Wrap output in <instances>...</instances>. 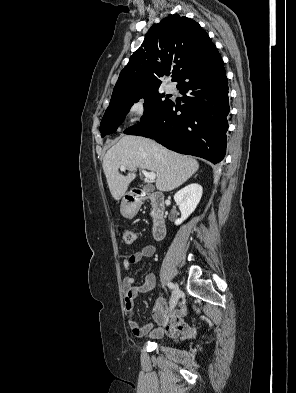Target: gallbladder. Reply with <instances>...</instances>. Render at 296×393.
Returning a JSON list of instances; mask_svg holds the SVG:
<instances>
[{
  "instance_id": "obj_1",
  "label": "gallbladder",
  "mask_w": 296,
  "mask_h": 393,
  "mask_svg": "<svg viewBox=\"0 0 296 393\" xmlns=\"http://www.w3.org/2000/svg\"><path fill=\"white\" fill-rule=\"evenodd\" d=\"M143 189L147 192H150L153 190V188L151 186H144Z\"/></svg>"
}]
</instances>
